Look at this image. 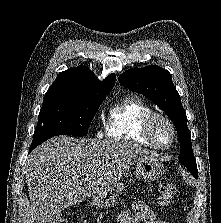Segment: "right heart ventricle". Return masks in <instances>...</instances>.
I'll list each match as a JSON object with an SVG mask.
<instances>
[{
  "label": "right heart ventricle",
  "mask_w": 221,
  "mask_h": 223,
  "mask_svg": "<svg viewBox=\"0 0 221 223\" xmlns=\"http://www.w3.org/2000/svg\"><path fill=\"white\" fill-rule=\"evenodd\" d=\"M152 107L140 96L132 94L115 103L109 110L105 135L120 142H135L151 146L142 135L145 118Z\"/></svg>",
  "instance_id": "obj_1"
}]
</instances>
